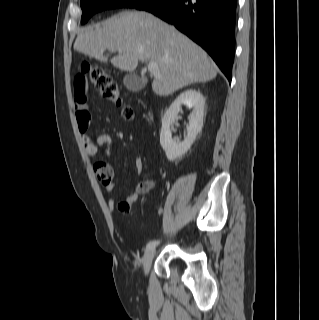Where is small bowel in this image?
<instances>
[{
  "label": "small bowel",
  "instance_id": "obj_1",
  "mask_svg": "<svg viewBox=\"0 0 319 320\" xmlns=\"http://www.w3.org/2000/svg\"><path fill=\"white\" fill-rule=\"evenodd\" d=\"M74 108L75 120L81 133L86 155L93 157L97 154L99 148H104L107 156H114L115 152L112 149V137L109 134H100L96 137V139H92L88 133V126L91 122V114L87 102V89L85 85L75 86ZM135 167L141 174L144 168V163L141 157H137L135 159ZM96 175L98 178L99 176L104 177V180L101 181V183L107 192H112L119 185L118 181H116L113 177L112 169L110 171L101 170L100 172L96 173ZM137 198V194L132 193L126 197V201L128 203H134ZM115 203V199H111L109 201L110 206H114Z\"/></svg>",
  "mask_w": 319,
  "mask_h": 320
}]
</instances>
